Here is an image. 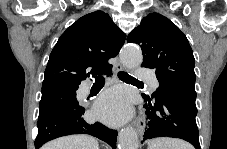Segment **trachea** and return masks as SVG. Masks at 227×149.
I'll list each match as a JSON object with an SVG mask.
<instances>
[{"label":"trachea","mask_w":227,"mask_h":149,"mask_svg":"<svg viewBox=\"0 0 227 149\" xmlns=\"http://www.w3.org/2000/svg\"><path fill=\"white\" fill-rule=\"evenodd\" d=\"M118 77L120 80L124 81V82H136V83H143L137 79H135L134 77H132L131 75H129L126 72L120 71L118 72ZM105 83V78L103 76H96L95 77V84H101L103 85Z\"/></svg>","instance_id":"trachea-1"}]
</instances>
